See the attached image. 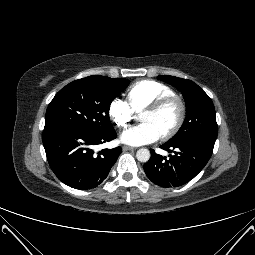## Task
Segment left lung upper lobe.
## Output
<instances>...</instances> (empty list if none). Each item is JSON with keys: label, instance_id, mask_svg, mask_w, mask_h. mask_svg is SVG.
I'll list each match as a JSON object with an SVG mask.
<instances>
[{"label": "left lung upper lobe", "instance_id": "left-lung-upper-lobe-1", "mask_svg": "<svg viewBox=\"0 0 255 255\" xmlns=\"http://www.w3.org/2000/svg\"><path fill=\"white\" fill-rule=\"evenodd\" d=\"M159 79L173 85L182 94L186 102L187 116L168 143H204L214 146L218 133L215 108L209 96L193 81L174 76H158Z\"/></svg>", "mask_w": 255, "mask_h": 255}]
</instances>
